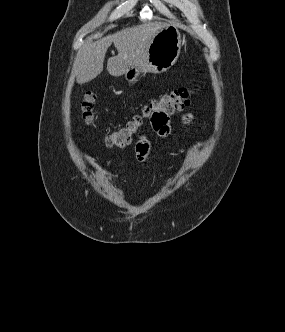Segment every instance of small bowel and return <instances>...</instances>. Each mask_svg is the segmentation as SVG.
Wrapping results in <instances>:
<instances>
[{
  "mask_svg": "<svg viewBox=\"0 0 285 332\" xmlns=\"http://www.w3.org/2000/svg\"><path fill=\"white\" fill-rule=\"evenodd\" d=\"M170 122H172V111H150L148 124L153 126V133L166 136L170 133ZM150 149V143L146 137H141L135 146L136 155L139 160H144Z\"/></svg>",
  "mask_w": 285,
  "mask_h": 332,
  "instance_id": "c3829d8e",
  "label": "small bowel"
}]
</instances>
